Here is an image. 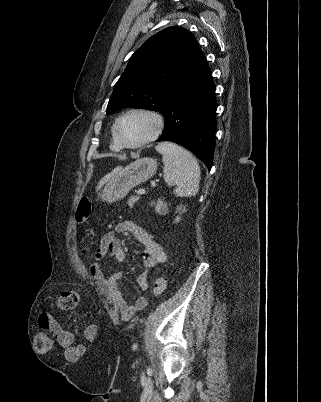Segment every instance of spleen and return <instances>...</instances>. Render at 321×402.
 Here are the masks:
<instances>
[{
	"mask_svg": "<svg viewBox=\"0 0 321 402\" xmlns=\"http://www.w3.org/2000/svg\"><path fill=\"white\" fill-rule=\"evenodd\" d=\"M156 150L163 157L165 183L176 186L174 193L177 196H195L199 190L200 167L192 154L171 142L159 143Z\"/></svg>",
	"mask_w": 321,
	"mask_h": 402,
	"instance_id": "obj_1",
	"label": "spleen"
}]
</instances>
